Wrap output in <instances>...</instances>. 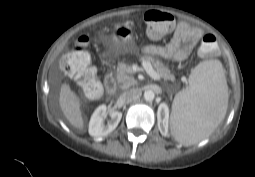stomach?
Returning <instances> with one entry per match:
<instances>
[{"instance_id": "1", "label": "stomach", "mask_w": 255, "mask_h": 177, "mask_svg": "<svg viewBox=\"0 0 255 177\" xmlns=\"http://www.w3.org/2000/svg\"><path fill=\"white\" fill-rule=\"evenodd\" d=\"M110 45L115 54L134 52L136 47L132 27L128 23L115 25L110 37Z\"/></svg>"}]
</instances>
